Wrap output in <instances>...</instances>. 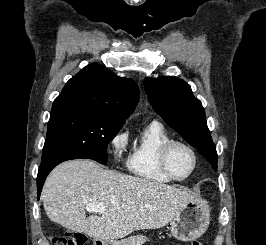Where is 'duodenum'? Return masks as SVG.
<instances>
[{
    "mask_svg": "<svg viewBox=\"0 0 266 245\" xmlns=\"http://www.w3.org/2000/svg\"><path fill=\"white\" fill-rule=\"evenodd\" d=\"M93 245H112L110 237H93Z\"/></svg>",
    "mask_w": 266,
    "mask_h": 245,
    "instance_id": "1",
    "label": "duodenum"
}]
</instances>
